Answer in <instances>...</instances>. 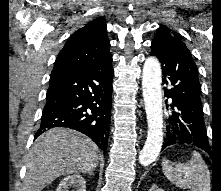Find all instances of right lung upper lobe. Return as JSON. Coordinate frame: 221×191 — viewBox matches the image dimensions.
I'll return each instance as SVG.
<instances>
[{
    "mask_svg": "<svg viewBox=\"0 0 221 191\" xmlns=\"http://www.w3.org/2000/svg\"><path fill=\"white\" fill-rule=\"evenodd\" d=\"M106 32L102 17L78 29L58 54L51 77L111 63L110 42Z\"/></svg>",
    "mask_w": 221,
    "mask_h": 191,
    "instance_id": "obj_1",
    "label": "right lung upper lobe"
}]
</instances>
